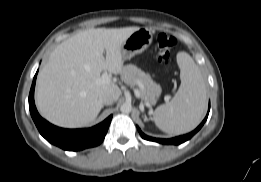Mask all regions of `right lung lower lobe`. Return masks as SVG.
I'll return each instance as SVG.
<instances>
[{
	"label": "right lung lower lobe",
	"instance_id": "1",
	"mask_svg": "<svg viewBox=\"0 0 261 182\" xmlns=\"http://www.w3.org/2000/svg\"><path fill=\"white\" fill-rule=\"evenodd\" d=\"M37 73L33 79L29 94V109L40 134L50 143L69 151H78L99 145L105 138L112 115L100 124L88 129H63L43 119L34 103V88Z\"/></svg>",
	"mask_w": 261,
	"mask_h": 182
}]
</instances>
